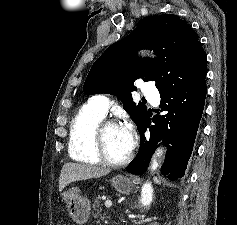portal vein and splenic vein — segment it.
Segmentation results:
<instances>
[{"label": "portal vein and splenic vein", "instance_id": "portal-vein-and-splenic-vein-1", "mask_svg": "<svg viewBox=\"0 0 237 225\" xmlns=\"http://www.w3.org/2000/svg\"><path fill=\"white\" fill-rule=\"evenodd\" d=\"M105 206H106V208H110L112 206V201L111 200H106L105 201Z\"/></svg>", "mask_w": 237, "mask_h": 225}]
</instances>
